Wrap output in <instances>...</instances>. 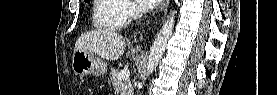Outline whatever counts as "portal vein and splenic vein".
<instances>
[{
    "label": "portal vein and splenic vein",
    "instance_id": "18ae733b",
    "mask_svg": "<svg viewBox=\"0 0 277 95\" xmlns=\"http://www.w3.org/2000/svg\"><path fill=\"white\" fill-rule=\"evenodd\" d=\"M130 76V71L129 70H121L119 73H118V78L120 80H125V79H128Z\"/></svg>",
    "mask_w": 277,
    "mask_h": 95
}]
</instances>
